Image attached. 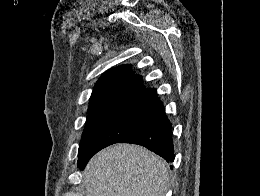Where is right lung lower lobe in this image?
Segmentation results:
<instances>
[{"instance_id":"1","label":"right lung lower lobe","mask_w":260,"mask_h":196,"mask_svg":"<svg viewBox=\"0 0 260 196\" xmlns=\"http://www.w3.org/2000/svg\"><path fill=\"white\" fill-rule=\"evenodd\" d=\"M145 109L157 118L129 134L118 143H132L144 146L164 158L167 162H173L175 155L171 123L165 115L162 102L157 99L146 106ZM98 151L95 149H79L78 165L83 168L88 160Z\"/></svg>"}]
</instances>
